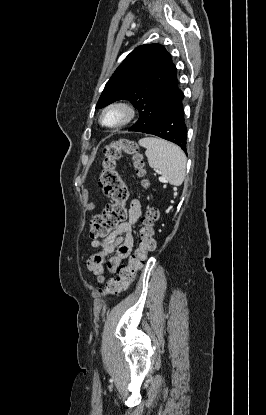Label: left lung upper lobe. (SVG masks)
Returning a JSON list of instances; mask_svg holds the SVG:
<instances>
[{
  "instance_id": "left-lung-upper-lobe-1",
  "label": "left lung upper lobe",
  "mask_w": 266,
  "mask_h": 415,
  "mask_svg": "<svg viewBox=\"0 0 266 415\" xmlns=\"http://www.w3.org/2000/svg\"><path fill=\"white\" fill-rule=\"evenodd\" d=\"M182 95L171 55L160 44L135 48L113 73L96 108L124 99L138 109L129 131L143 132L161 120Z\"/></svg>"
}]
</instances>
